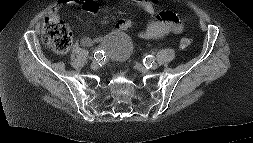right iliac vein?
Returning <instances> with one entry per match:
<instances>
[{
	"label": "right iliac vein",
	"instance_id": "right-iliac-vein-1",
	"mask_svg": "<svg viewBox=\"0 0 253 143\" xmlns=\"http://www.w3.org/2000/svg\"><path fill=\"white\" fill-rule=\"evenodd\" d=\"M97 67H98L97 62L93 61L92 64H91V68L96 69Z\"/></svg>",
	"mask_w": 253,
	"mask_h": 143
}]
</instances>
